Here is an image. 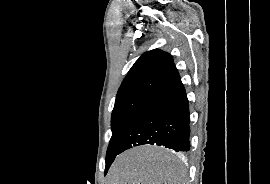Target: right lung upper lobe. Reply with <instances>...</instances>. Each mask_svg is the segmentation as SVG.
Segmentation results:
<instances>
[{"instance_id":"1","label":"right lung upper lobe","mask_w":270,"mask_h":184,"mask_svg":"<svg viewBox=\"0 0 270 184\" xmlns=\"http://www.w3.org/2000/svg\"><path fill=\"white\" fill-rule=\"evenodd\" d=\"M178 75L170 54L159 49L147 51L129 70L118 90L116 101L137 95L150 97Z\"/></svg>"}]
</instances>
